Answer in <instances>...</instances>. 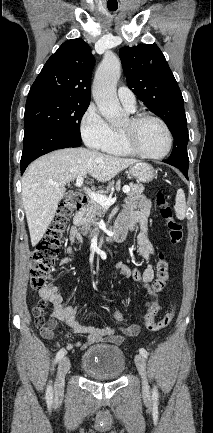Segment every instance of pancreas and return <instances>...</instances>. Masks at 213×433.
<instances>
[{"label": "pancreas", "mask_w": 213, "mask_h": 433, "mask_svg": "<svg viewBox=\"0 0 213 433\" xmlns=\"http://www.w3.org/2000/svg\"><path fill=\"white\" fill-rule=\"evenodd\" d=\"M112 187L113 183H110L107 187V192L112 190ZM129 187L130 191L128 192V195L131 197L140 196L144 191V186L140 184L130 183ZM102 213L103 207L93 200H91L86 207L80 210L77 217L79 218L81 229L84 234H90L92 236L96 232L97 221Z\"/></svg>", "instance_id": "obj_1"}]
</instances>
